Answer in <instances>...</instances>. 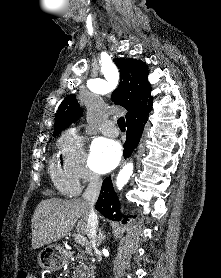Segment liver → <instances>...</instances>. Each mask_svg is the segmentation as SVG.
<instances>
[{"mask_svg": "<svg viewBox=\"0 0 221 278\" xmlns=\"http://www.w3.org/2000/svg\"><path fill=\"white\" fill-rule=\"evenodd\" d=\"M88 214V203L82 199L42 200L32 217V248L39 249L60 240L70 233L77 221V233L85 234Z\"/></svg>", "mask_w": 221, "mask_h": 278, "instance_id": "1", "label": "liver"}]
</instances>
